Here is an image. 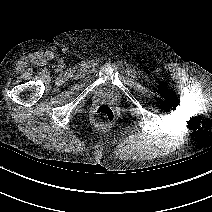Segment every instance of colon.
Here are the masks:
<instances>
[{
  "label": "colon",
  "instance_id": "colon-1",
  "mask_svg": "<svg viewBox=\"0 0 212 212\" xmlns=\"http://www.w3.org/2000/svg\"><path fill=\"white\" fill-rule=\"evenodd\" d=\"M114 117V111L108 105H100L92 113L93 122L99 127L111 125Z\"/></svg>",
  "mask_w": 212,
  "mask_h": 212
}]
</instances>
